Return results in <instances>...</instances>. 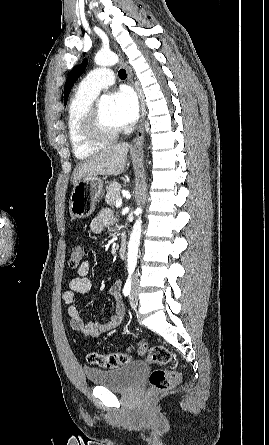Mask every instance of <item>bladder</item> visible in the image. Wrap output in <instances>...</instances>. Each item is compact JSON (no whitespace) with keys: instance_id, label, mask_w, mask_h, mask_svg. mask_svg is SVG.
Instances as JSON below:
<instances>
[{"instance_id":"31cf9c89","label":"bladder","mask_w":269,"mask_h":445,"mask_svg":"<svg viewBox=\"0 0 269 445\" xmlns=\"http://www.w3.org/2000/svg\"><path fill=\"white\" fill-rule=\"evenodd\" d=\"M148 366L142 360L132 361L113 369L84 368L88 383L111 391H125L139 382Z\"/></svg>"}]
</instances>
